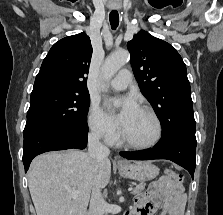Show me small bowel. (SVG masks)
<instances>
[{
    "label": "small bowel",
    "mask_w": 223,
    "mask_h": 215,
    "mask_svg": "<svg viewBox=\"0 0 223 215\" xmlns=\"http://www.w3.org/2000/svg\"><path fill=\"white\" fill-rule=\"evenodd\" d=\"M185 204L181 184L169 177H162L137 198L134 209L128 215H152L160 206V215H183Z\"/></svg>",
    "instance_id": "1"
}]
</instances>
